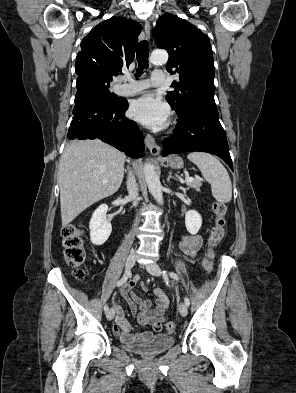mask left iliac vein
I'll use <instances>...</instances> for the list:
<instances>
[{
	"label": "left iliac vein",
	"instance_id": "4c4485c4",
	"mask_svg": "<svg viewBox=\"0 0 296 393\" xmlns=\"http://www.w3.org/2000/svg\"><path fill=\"white\" fill-rule=\"evenodd\" d=\"M146 270L151 275H154V276H161V274H162L159 265L157 263H155V262H153V263L149 264L148 266H146ZM179 312H180V314L183 317L187 316L188 309H187L186 304H184L183 302L179 303Z\"/></svg>",
	"mask_w": 296,
	"mask_h": 393
}]
</instances>
